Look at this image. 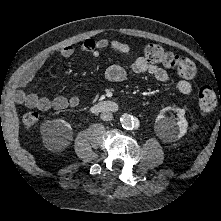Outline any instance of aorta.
Listing matches in <instances>:
<instances>
[{"label": "aorta", "mask_w": 221, "mask_h": 221, "mask_svg": "<svg viewBox=\"0 0 221 221\" xmlns=\"http://www.w3.org/2000/svg\"><path fill=\"white\" fill-rule=\"evenodd\" d=\"M120 122L125 129H136L139 127V120L130 114H123Z\"/></svg>", "instance_id": "obj_1"}]
</instances>
